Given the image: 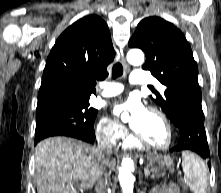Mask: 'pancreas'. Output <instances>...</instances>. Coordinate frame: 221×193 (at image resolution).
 <instances>
[{
    "label": "pancreas",
    "instance_id": "pancreas-1",
    "mask_svg": "<svg viewBox=\"0 0 221 193\" xmlns=\"http://www.w3.org/2000/svg\"><path fill=\"white\" fill-rule=\"evenodd\" d=\"M151 171L153 172V174H152V176H151V178H160V177H162V176H164L165 175V170L164 169H162V170H157V169H155V168H152L151 169Z\"/></svg>",
    "mask_w": 221,
    "mask_h": 193
}]
</instances>
